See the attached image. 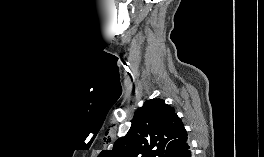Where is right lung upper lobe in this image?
Segmentation results:
<instances>
[{"label":"right lung upper lobe","mask_w":264,"mask_h":157,"mask_svg":"<svg viewBox=\"0 0 264 157\" xmlns=\"http://www.w3.org/2000/svg\"><path fill=\"white\" fill-rule=\"evenodd\" d=\"M187 141V131L163 99L147 100L124 137L99 157H169Z\"/></svg>","instance_id":"right-lung-upper-lobe-1"}]
</instances>
